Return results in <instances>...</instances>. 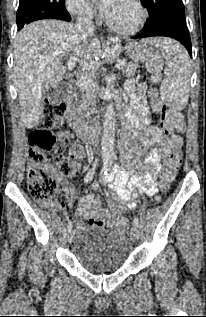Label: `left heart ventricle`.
I'll return each mask as SVG.
<instances>
[{
  "instance_id": "b2bd125f",
  "label": "left heart ventricle",
  "mask_w": 206,
  "mask_h": 317,
  "mask_svg": "<svg viewBox=\"0 0 206 317\" xmlns=\"http://www.w3.org/2000/svg\"><path fill=\"white\" fill-rule=\"evenodd\" d=\"M106 17L117 26L131 27L139 19V11L130 0H115Z\"/></svg>"
}]
</instances>
